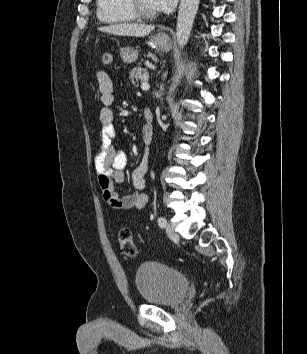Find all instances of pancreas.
Wrapping results in <instances>:
<instances>
[{
  "label": "pancreas",
  "mask_w": 307,
  "mask_h": 354,
  "mask_svg": "<svg viewBox=\"0 0 307 354\" xmlns=\"http://www.w3.org/2000/svg\"><path fill=\"white\" fill-rule=\"evenodd\" d=\"M149 78V73L146 68L135 67L129 72V79L132 84L136 87L139 86V82L147 81Z\"/></svg>",
  "instance_id": "pancreas-1"
}]
</instances>
